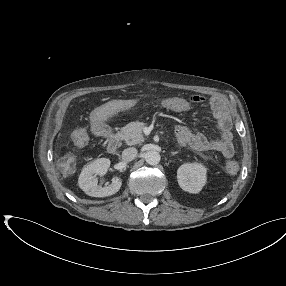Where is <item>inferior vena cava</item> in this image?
<instances>
[{
	"instance_id": "obj_1",
	"label": "inferior vena cava",
	"mask_w": 286,
	"mask_h": 286,
	"mask_svg": "<svg viewBox=\"0 0 286 286\" xmlns=\"http://www.w3.org/2000/svg\"><path fill=\"white\" fill-rule=\"evenodd\" d=\"M137 152H138L137 149L134 147H130V148L125 149L122 152V160L124 162L132 161L137 156Z\"/></svg>"
}]
</instances>
